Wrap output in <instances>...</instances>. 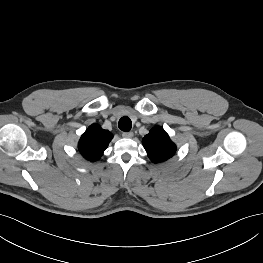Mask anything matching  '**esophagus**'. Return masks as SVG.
Masks as SVG:
<instances>
[{"label":"esophagus","instance_id":"34e87169","mask_svg":"<svg viewBox=\"0 0 263 263\" xmlns=\"http://www.w3.org/2000/svg\"><path fill=\"white\" fill-rule=\"evenodd\" d=\"M122 136L124 138H132L134 136V133L133 132H123Z\"/></svg>","mask_w":263,"mask_h":263}]
</instances>
